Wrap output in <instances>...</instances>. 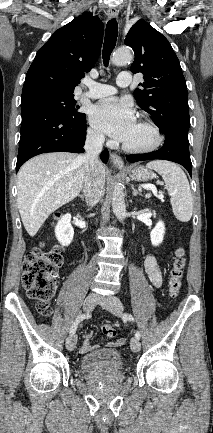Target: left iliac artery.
<instances>
[{
	"mask_svg": "<svg viewBox=\"0 0 213 433\" xmlns=\"http://www.w3.org/2000/svg\"><path fill=\"white\" fill-rule=\"evenodd\" d=\"M123 319L128 320V321H134V317L131 314H128V313H126V314L123 315ZM135 337L137 339H140L141 334H140L139 331H136Z\"/></svg>",
	"mask_w": 213,
	"mask_h": 433,
	"instance_id": "left-iliac-artery-1",
	"label": "left iliac artery"
}]
</instances>
